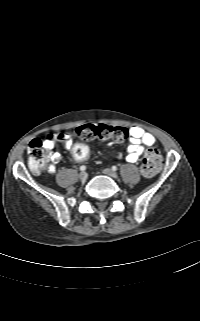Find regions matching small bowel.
<instances>
[{"instance_id": "obj_1", "label": "small bowel", "mask_w": 200, "mask_h": 321, "mask_svg": "<svg viewBox=\"0 0 200 321\" xmlns=\"http://www.w3.org/2000/svg\"><path fill=\"white\" fill-rule=\"evenodd\" d=\"M127 133L129 135V143L125 159L129 163H136L143 154L145 147L152 146L155 143V137L139 126L130 127ZM56 142H60L68 150L75 144L73 138L65 132L48 135L43 144L47 151L48 160L51 162L47 169L51 174L55 173L56 164L61 160V154L53 151Z\"/></svg>"}]
</instances>
